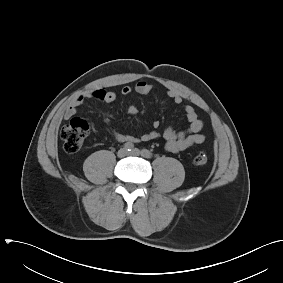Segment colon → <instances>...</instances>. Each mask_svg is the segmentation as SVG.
<instances>
[{
	"label": "colon",
	"mask_w": 283,
	"mask_h": 283,
	"mask_svg": "<svg viewBox=\"0 0 283 283\" xmlns=\"http://www.w3.org/2000/svg\"><path fill=\"white\" fill-rule=\"evenodd\" d=\"M88 130L87 122L81 118H73L65 124L60 132L65 150L68 152L78 151L88 134ZM207 162L208 156L203 152L196 154L193 159V163L197 166H204Z\"/></svg>",
	"instance_id": "1"
}]
</instances>
